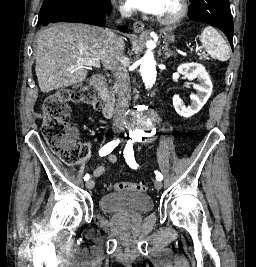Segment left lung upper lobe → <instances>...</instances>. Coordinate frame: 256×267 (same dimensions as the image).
I'll return each mask as SVG.
<instances>
[{"label": "left lung upper lobe", "mask_w": 256, "mask_h": 267, "mask_svg": "<svg viewBox=\"0 0 256 267\" xmlns=\"http://www.w3.org/2000/svg\"><path fill=\"white\" fill-rule=\"evenodd\" d=\"M190 16L219 28L233 48V19L229 0H191Z\"/></svg>", "instance_id": "1"}]
</instances>
